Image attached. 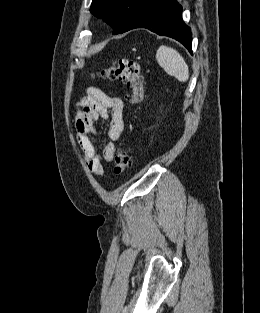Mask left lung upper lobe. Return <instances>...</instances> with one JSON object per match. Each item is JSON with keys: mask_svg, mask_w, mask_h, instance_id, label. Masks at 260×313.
Masks as SVG:
<instances>
[{"mask_svg": "<svg viewBox=\"0 0 260 313\" xmlns=\"http://www.w3.org/2000/svg\"><path fill=\"white\" fill-rule=\"evenodd\" d=\"M153 0H93L90 12L114 28V34L123 33L133 20Z\"/></svg>", "mask_w": 260, "mask_h": 313, "instance_id": "5c2ea615", "label": "left lung upper lobe"}]
</instances>
